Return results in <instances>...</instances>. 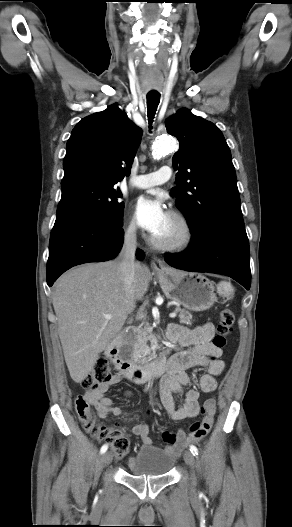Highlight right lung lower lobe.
I'll return each mask as SVG.
<instances>
[{"label":"right lung lower lobe","mask_w":292,"mask_h":527,"mask_svg":"<svg viewBox=\"0 0 292 527\" xmlns=\"http://www.w3.org/2000/svg\"><path fill=\"white\" fill-rule=\"evenodd\" d=\"M122 225L80 211L57 213L49 243L48 286L73 266L115 258L123 244ZM137 257L144 258L142 250H137Z\"/></svg>","instance_id":"98d812e1"}]
</instances>
